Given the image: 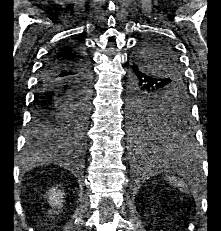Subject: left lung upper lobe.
I'll return each mask as SVG.
<instances>
[{"label":"left lung upper lobe","instance_id":"obj_1","mask_svg":"<svg viewBox=\"0 0 221 231\" xmlns=\"http://www.w3.org/2000/svg\"><path fill=\"white\" fill-rule=\"evenodd\" d=\"M135 60L162 83L159 92L147 96L140 114L130 116L131 130L137 138L153 137L167 126L188 121V88L175 48L161 36H149L142 39Z\"/></svg>","mask_w":221,"mask_h":231}]
</instances>
